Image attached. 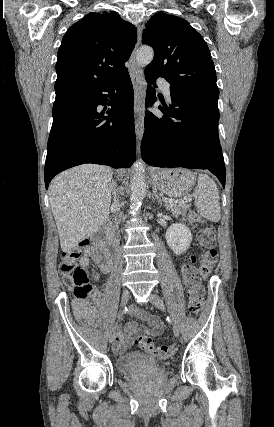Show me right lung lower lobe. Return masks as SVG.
<instances>
[{"instance_id": "1", "label": "right lung lower lobe", "mask_w": 274, "mask_h": 427, "mask_svg": "<svg viewBox=\"0 0 274 427\" xmlns=\"http://www.w3.org/2000/svg\"><path fill=\"white\" fill-rule=\"evenodd\" d=\"M116 91V92H115ZM111 109L104 116L98 105ZM45 163L46 189L51 179L70 167L95 163L113 168L130 167L136 159L133 87L129 74L115 84L85 96L53 105Z\"/></svg>"}]
</instances>
